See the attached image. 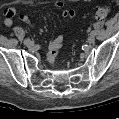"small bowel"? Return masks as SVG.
Wrapping results in <instances>:
<instances>
[{
  "label": "small bowel",
  "instance_id": "small-bowel-1",
  "mask_svg": "<svg viewBox=\"0 0 119 119\" xmlns=\"http://www.w3.org/2000/svg\"><path fill=\"white\" fill-rule=\"evenodd\" d=\"M54 5L57 9H63L64 8V4L61 1L55 2ZM15 14H16V10L14 8H8L4 11V16H5L4 23L6 26L9 27L13 24V17L15 16ZM62 15L71 21L75 16V12L72 9H63ZM20 20L25 22V23H30V19L26 15H21ZM63 41H64V36L59 35L49 42L50 52H49V55L47 58L49 63H53L56 54L59 52L60 48L63 46Z\"/></svg>",
  "mask_w": 119,
  "mask_h": 119
}]
</instances>
